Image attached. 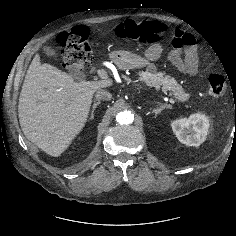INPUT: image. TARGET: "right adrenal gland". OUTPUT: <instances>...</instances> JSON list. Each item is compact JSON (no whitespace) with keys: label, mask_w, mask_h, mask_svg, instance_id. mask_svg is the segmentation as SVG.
<instances>
[{"label":"right adrenal gland","mask_w":236,"mask_h":236,"mask_svg":"<svg viewBox=\"0 0 236 236\" xmlns=\"http://www.w3.org/2000/svg\"><path fill=\"white\" fill-rule=\"evenodd\" d=\"M98 105H100V102H95V103L93 104V107H92V111H91V115H90L89 120H92V119L94 118V112H95V109H96V107H97Z\"/></svg>","instance_id":"1"}]
</instances>
